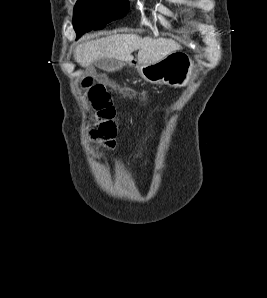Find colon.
Returning <instances> with one entry per match:
<instances>
[{"mask_svg":"<svg viewBox=\"0 0 267 298\" xmlns=\"http://www.w3.org/2000/svg\"><path fill=\"white\" fill-rule=\"evenodd\" d=\"M83 88L85 89L89 101L96 112V119L93 123V135L101 140V145L105 149H111L114 146L112 129L108 125L107 120L111 116L110 96L105 87L95 84L91 78L83 80Z\"/></svg>","mask_w":267,"mask_h":298,"instance_id":"1","label":"colon"}]
</instances>
